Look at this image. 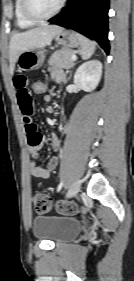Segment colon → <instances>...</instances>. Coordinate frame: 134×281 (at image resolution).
Returning <instances> with one entry per match:
<instances>
[{
    "label": "colon",
    "mask_w": 134,
    "mask_h": 281,
    "mask_svg": "<svg viewBox=\"0 0 134 281\" xmlns=\"http://www.w3.org/2000/svg\"><path fill=\"white\" fill-rule=\"evenodd\" d=\"M32 93L35 95H43L46 91V83L42 79H35L31 85ZM33 204L37 212L39 213H46L49 212L52 207V199L46 194H36L33 198ZM58 209L61 213L67 215H73L80 213L82 208L79 207L77 204L70 203V204H63L60 203L58 205Z\"/></svg>",
    "instance_id": "1"
}]
</instances>
